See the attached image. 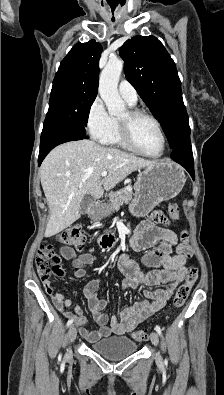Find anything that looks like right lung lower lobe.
<instances>
[{
    "instance_id": "right-lung-lower-lobe-1",
    "label": "right lung lower lobe",
    "mask_w": 224,
    "mask_h": 395,
    "mask_svg": "<svg viewBox=\"0 0 224 395\" xmlns=\"http://www.w3.org/2000/svg\"><path fill=\"white\" fill-rule=\"evenodd\" d=\"M87 138L86 132L72 124L58 119H45L41 134L38 164L57 145L74 140Z\"/></svg>"
}]
</instances>
